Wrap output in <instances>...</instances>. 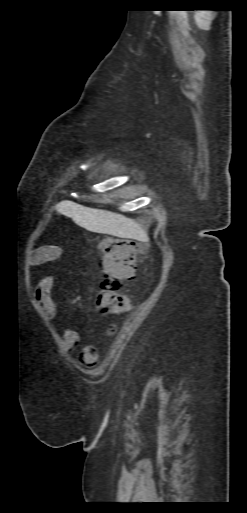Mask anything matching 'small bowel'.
<instances>
[{"mask_svg": "<svg viewBox=\"0 0 247 513\" xmlns=\"http://www.w3.org/2000/svg\"><path fill=\"white\" fill-rule=\"evenodd\" d=\"M56 252L57 248L55 246H46L36 250V252L33 253L30 257V268L52 260ZM54 285V279L50 276H46L40 280L34 292L35 300L39 305L44 318L48 321H52L57 314L56 306L52 298V290ZM74 303L80 305L82 308H85V306L81 305L79 301H75ZM113 331L114 330L111 327L108 333L111 335ZM79 341L80 335L77 331L73 329H66L64 331L62 335V347L66 352L74 350L77 347ZM97 354V348L95 346H87L84 349L82 356L84 364L90 365L96 359Z\"/></svg>", "mask_w": 247, "mask_h": 513, "instance_id": "small-bowel-1", "label": "small bowel"}]
</instances>
